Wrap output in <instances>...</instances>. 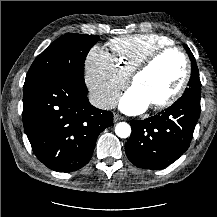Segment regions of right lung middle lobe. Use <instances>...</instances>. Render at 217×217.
Listing matches in <instances>:
<instances>
[{"label": "right lung middle lobe", "instance_id": "right-lung-middle-lobe-1", "mask_svg": "<svg viewBox=\"0 0 217 217\" xmlns=\"http://www.w3.org/2000/svg\"><path fill=\"white\" fill-rule=\"evenodd\" d=\"M99 36L68 33L49 45L33 62L25 83L43 76L62 73L79 84H85L83 66L89 50L97 43Z\"/></svg>", "mask_w": 217, "mask_h": 217}]
</instances>
